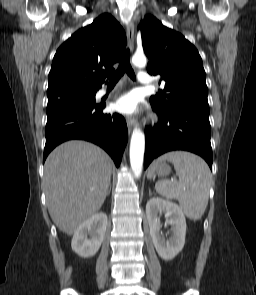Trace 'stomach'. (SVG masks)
Listing matches in <instances>:
<instances>
[{"label": "stomach", "instance_id": "stomach-1", "mask_svg": "<svg viewBox=\"0 0 256 295\" xmlns=\"http://www.w3.org/2000/svg\"><path fill=\"white\" fill-rule=\"evenodd\" d=\"M170 171H171V168L166 163L160 162V163L155 165V172L158 175L166 176V175H168L170 173Z\"/></svg>", "mask_w": 256, "mask_h": 295}]
</instances>
